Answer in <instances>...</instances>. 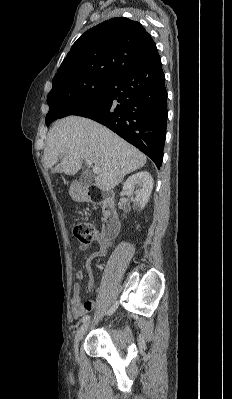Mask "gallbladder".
Segmentation results:
<instances>
[{"mask_svg": "<svg viewBox=\"0 0 232 399\" xmlns=\"http://www.w3.org/2000/svg\"><path fill=\"white\" fill-rule=\"evenodd\" d=\"M81 169L83 170V176L79 178V182L81 186H92V178L90 176V168L87 163H82L81 164Z\"/></svg>", "mask_w": 232, "mask_h": 399, "instance_id": "1", "label": "gallbladder"}]
</instances>
